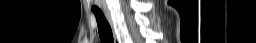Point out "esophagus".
Segmentation results:
<instances>
[{"label":"esophagus","instance_id":"1","mask_svg":"<svg viewBox=\"0 0 256 43\" xmlns=\"http://www.w3.org/2000/svg\"><path fill=\"white\" fill-rule=\"evenodd\" d=\"M104 12H105V16H106V18H107L109 24L111 25L112 30H114V24H113V21H112V19H111V15H110L108 9H104ZM113 35H114V43H119V41L117 40V37H116L115 33H113Z\"/></svg>","mask_w":256,"mask_h":43}]
</instances>
